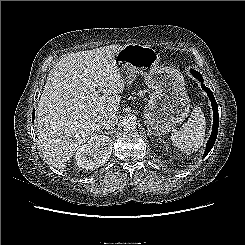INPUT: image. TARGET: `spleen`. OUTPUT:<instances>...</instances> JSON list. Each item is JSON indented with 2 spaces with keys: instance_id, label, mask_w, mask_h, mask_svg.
I'll return each mask as SVG.
<instances>
[{
  "instance_id": "1",
  "label": "spleen",
  "mask_w": 245,
  "mask_h": 245,
  "mask_svg": "<svg viewBox=\"0 0 245 245\" xmlns=\"http://www.w3.org/2000/svg\"><path fill=\"white\" fill-rule=\"evenodd\" d=\"M206 122L200 107H195L188 121L183 124L180 130L171 134V141L174 146L185 151H198L205 140Z\"/></svg>"
}]
</instances>
